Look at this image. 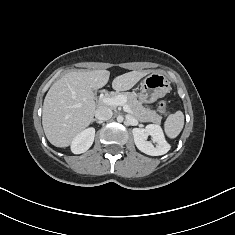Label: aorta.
Here are the masks:
<instances>
[{
  "instance_id": "1",
  "label": "aorta",
  "mask_w": 235,
  "mask_h": 235,
  "mask_svg": "<svg viewBox=\"0 0 235 235\" xmlns=\"http://www.w3.org/2000/svg\"><path fill=\"white\" fill-rule=\"evenodd\" d=\"M117 121H118V122H122V121H123V117L119 115V116L117 117Z\"/></svg>"
}]
</instances>
